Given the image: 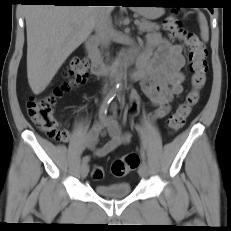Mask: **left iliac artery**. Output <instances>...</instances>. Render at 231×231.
<instances>
[{"mask_svg":"<svg viewBox=\"0 0 231 231\" xmlns=\"http://www.w3.org/2000/svg\"><path fill=\"white\" fill-rule=\"evenodd\" d=\"M118 100H119V102H120L122 105H124V98H123L121 95L118 96ZM136 129H137V131L140 133L141 138H142V140H143V138H144V131H143V129H142L141 127H139V126H136ZM141 156H142V163H146V164H147V160H146V156H145L144 150H142Z\"/></svg>","mask_w":231,"mask_h":231,"instance_id":"1","label":"left iliac artery"}]
</instances>
